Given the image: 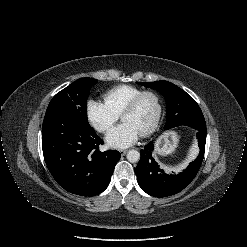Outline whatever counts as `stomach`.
<instances>
[{
  "mask_svg": "<svg viewBox=\"0 0 247 247\" xmlns=\"http://www.w3.org/2000/svg\"><path fill=\"white\" fill-rule=\"evenodd\" d=\"M178 144V136L175 132L164 133L155 144V151L160 155L172 153Z\"/></svg>",
  "mask_w": 247,
  "mask_h": 247,
  "instance_id": "1",
  "label": "stomach"
}]
</instances>
